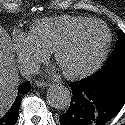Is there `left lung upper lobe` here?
I'll return each mask as SVG.
<instances>
[{
    "label": "left lung upper lobe",
    "mask_w": 125,
    "mask_h": 125,
    "mask_svg": "<svg viewBox=\"0 0 125 125\" xmlns=\"http://www.w3.org/2000/svg\"><path fill=\"white\" fill-rule=\"evenodd\" d=\"M125 64V34L120 33L118 43L102 69Z\"/></svg>",
    "instance_id": "obj_1"
}]
</instances>
